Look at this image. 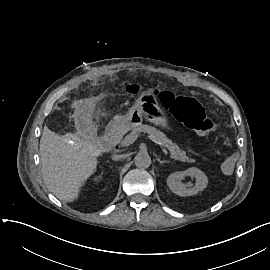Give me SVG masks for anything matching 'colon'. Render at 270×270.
<instances>
[{"mask_svg": "<svg viewBox=\"0 0 270 270\" xmlns=\"http://www.w3.org/2000/svg\"><path fill=\"white\" fill-rule=\"evenodd\" d=\"M126 91L131 95H138L142 90L139 85L129 83ZM144 94L149 95V92L146 91ZM154 95L158 96L162 107L187 128L200 134H213V121L205 116L200 103L195 99L170 90L156 91ZM220 169L223 175H232L234 172L233 161L230 159L223 160L220 164Z\"/></svg>", "mask_w": 270, "mask_h": 270, "instance_id": "1", "label": "colon"}]
</instances>
